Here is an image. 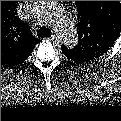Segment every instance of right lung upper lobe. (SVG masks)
Masks as SVG:
<instances>
[{
	"label": "right lung upper lobe",
	"mask_w": 121,
	"mask_h": 121,
	"mask_svg": "<svg viewBox=\"0 0 121 121\" xmlns=\"http://www.w3.org/2000/svg\"><path fill=\"white\" fill-rule=\"evenodd\" d=\"M3 8L4 10L1 9V55L4 49L11 54L17 51L20 53L22 48H27L34 43L32 42L33 37L28 33L26 25L14 17L12 11L5 10L9 9V4Z\"/></svg>",
	"instance_id": "1"
}]
</instances>
